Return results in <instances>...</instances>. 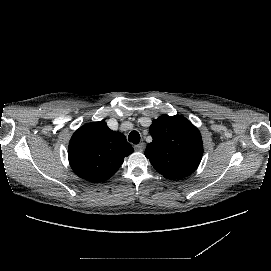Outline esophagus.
I'll list each match as a JSON object with an SVG mask.
<instances>
[{
  "label": "esophagus",
  "mask_w": 271,
  "mask_h": 271,
  "mask_svg": "<svg viewBox=\"0 0 271 271\" xmlns=\"http://www.w3.org/2000/svg\"><path fill=\"white\" fill-rule=\"evenodd\" d=\"M134 149L137 151V152H143L145 150V143H140L138 145H135L134 146Z\"/></svg>",
  "instance_id": "obj_1"
}]
</instances>
